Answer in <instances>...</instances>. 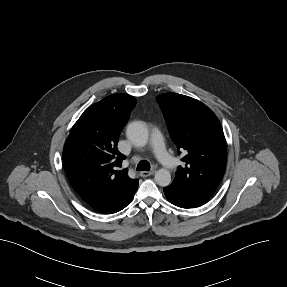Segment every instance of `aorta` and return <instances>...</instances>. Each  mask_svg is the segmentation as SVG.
Segmentation results:
<instances>
[{"label":"aorta","instance_id":"1","mask_svg":"<svg viewBox=\"0 0 287 287\" xmlns=\"http://www.w3.org/2000/svg\"><path fill=\"white\" fill-rule=\"evenodd\" d=\"M127 138L137 147H144L148 143V130L142 122H132L126 130ZM155 182L162 187L171 184V174L167 169L161 168L155 173Z\"/></svg>","mask_w":287,"mask_h":287}]
</instances>
